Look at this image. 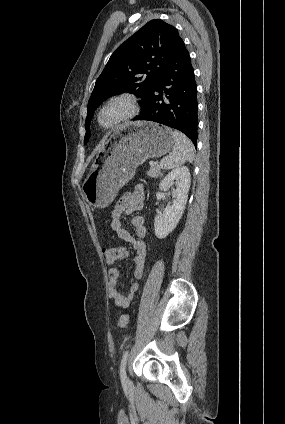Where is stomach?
Instances as JSON below:
<instances>
[{
  "instance_id": "1",
  "label": "stomach",
  "mask_w": 285,
  "mask_h": 424,
  "mask_svg": "<svg viewBox=\"0 0 285 424\" xmlns=\"http://www.w3.org/2000/svg\"><path fill=\"white\" fill-rule=\"evenodd\" d=\"M174 145L170 128L152 122H130L101 148L82 184L92 207L104 208L148 158H159Z\"/></svg>"
}]
</instances>
